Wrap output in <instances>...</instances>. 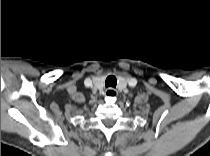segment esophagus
Here are the masks:
<instances>
[{
    "label": "esophagus",
    "instance_id": "obj_1",
    "mask_svg": "<svg viewBox=\"0 0 210 156\" xmlns=\"http://www.w3.org/2000/svg\"><path fill=\"white\" fill-rule=\"evenodd\" d=\"M105 97H116L118 95L117 90L113 88H107L104 93Z\"/></svg>",
    "mask_w": 210,
    "mask_h": 156
}]
</instances>
